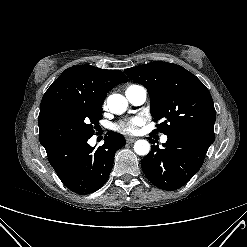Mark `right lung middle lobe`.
Listing matches in <instances>:
<instances>
[{
  "instance_id": "obj_1",
  "label": "right lung middle lobe",
  "mask_w": 247,
  "mask_h": 247,
  "mask_svg": "<svg viewBox=\"0 0 247 247\" xmlns=\"http://www.w3.org/2000/svg\"><path fill=\"white\" fill-rule=\"evenodd\" d=\"M101 118L100 105L81 104L53 111L40 127V143L48 148L70 138L93 135L94 125L96 126Z\"/></svg>"
}]
</instances>
